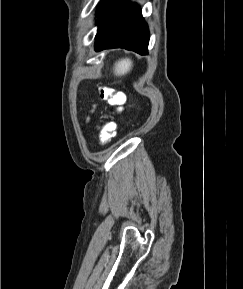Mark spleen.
<instances>
[{"instance_id": "obj_1", "label": "spleen", "mask_w": 243, "mask_h": 289, "mask_svg": "<svg viewBox=\"0 0 243 289\" xmlns=\"http://www.w3.org/2000/svg\"><path fill=\"white\" fill-rule=\"evenodd\" d=\"M132 68V61L128 58L121 59L115 63L114 74L116 76H123L127 74Z\"/></svg>"}]
</instances>
